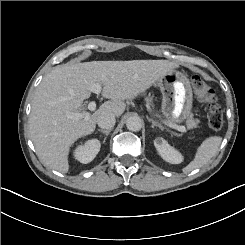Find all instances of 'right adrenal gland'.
Here are the masks:
<instances>
[{
	"label": "right adrenal gland",
	"instance_id": "2a0ac1e0",
	"mask_svg": "<svg viewBox=\"0 0 245 245\" xmlns=\"http://www.w3.org/2000/svg\"><path fill=\"white\" fill-rule=\"evenodd\" d=\"M100 132H102L103 134L108 135L111 132V129H98ZM106 139V137H105Z\"/></svg>",
	"mask_w": 245,
	"mask_h": 245
}]
</instances>
